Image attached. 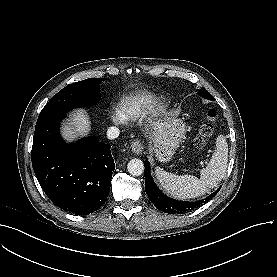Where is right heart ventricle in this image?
I'll return each mask as SVG.
<instances>
[{"mask_svg": "<svg viewBox=\"0 0 277 277\" xmlns=\"http://www.w3.org/2000/svg\"><path fill=\"white\" fill-rule=\"evenodd\" d=\"M153 100V96L136 93L123 99L118 105V110L125 117L136 118L147 111Z\"/></svg>", "mask_w": 277, "mask_h": 277, "instance_id": "obj_1", "label": "right heart ventricle"}]
</instances>
